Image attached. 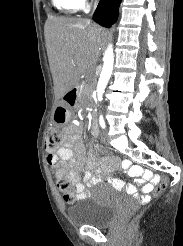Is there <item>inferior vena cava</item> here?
<instances>
[{
	"instance_id": "obj_1",
	"label": "inferior vena cava",
	"mask_w": 183,
	"mask_h": 246,
	"mask_svg": "<svg viewBox=\"0 0 183 246\" xmlns=\"http://www.w3.org/2000/svg\"><path fill=\"white\" fill-rule=\"evenodd\" d=\"M95 8H96V5L94 6V9H93V11L95 10Z\"/></svg>"
}]
</instances>
